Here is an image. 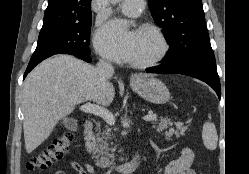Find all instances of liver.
<instances>
[{
	"instance_id": "obj_1",
	"label": "liver",
	"mask_w": 249,
	"mask_h": 174,
	"mask_svg": "<svg viewBox=\"0 0 249 174\" xmlns=\"http://www.w3.org/2000/svg\"><path fill=\"white\" fill-rule=\"evenodd\" d=\"M111 83H104L97 68L70 55H57L42 61L23 85L24 139L27 153L40 146L58 121L85 101L102 106L112 103Z\"/></svg>"
}]
</instances>
